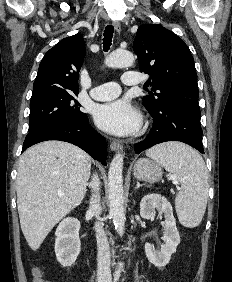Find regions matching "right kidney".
Wrapping results in <instances>:
<instances>
[{
    "mask_svg": "<svg viewBox=\"0 0 232 282\" xmlns=\"http://www.w3.org/2000/svg\"><path fill=\"white\" fill-rule=\"evenodd\" d=\"M79 229L78 219L68 217L61 221L55 232V254L63 267L71 266L80 253Z\"/></svg>",
    "mask_w": 232,
    "mask_h": 282,
    "instance_id": "ca27d5eb",
    "label": "right kidney"
}]
</instances>
